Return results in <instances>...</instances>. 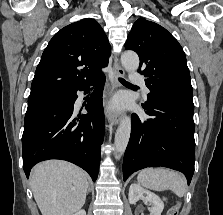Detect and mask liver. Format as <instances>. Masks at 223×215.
Here are the masks:
<instances>
[{
    "label": "liver",
    "instance_id": "liver-1",
    "mask_svg": "<svg viewBox=\"0 0 223 215\" xmlns=\"http://www.w3.org/2000/svg\"><path fill=\"white\" fill-rule=\"evenodd\" d=\"M30 185L42 215H71L85 203V171L68 161L49 159L32 169Z\"/></svg>",
    "mask_w": 223,
    "mask_h": 215
}]
</instances>
